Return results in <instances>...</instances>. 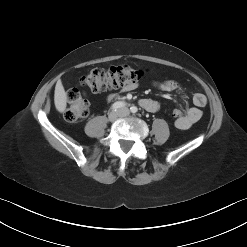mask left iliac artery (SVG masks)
Listing matches in <instances>:
<instances>
[{
  "instance_id": "44dca946",
  "label": "left iliac artery",
  "mask_w": 247,
  "mask_h": 247,
  "mask_svg": "<svg viewBox=\"0 0 247 247\" xmlns=\"http://www.w3.org/2000/svg\"><path fill=\"white\" fill-rule=\"evenodd\" d=\"M130 111H131L132 113H136V112L138 111V109H137L136 106H132V107H130Z\"/></svg>"
}]
</instances>
